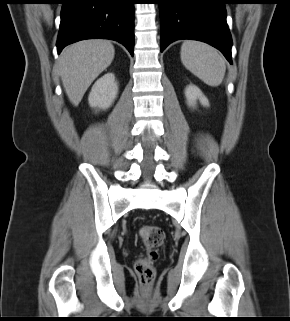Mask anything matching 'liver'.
Returning a JSON list of instances; mask_svg holds the SVG:
<instances>
[{
  "mask_svg": "<svg viewBox=\"0 0 290 321\" xmlns=\"http://www.w3.org/2000/svg\"><path fill=\"white\" fill-rule=\"evenodd\" d=\"M115 49L104 39H88L67 46L57 68L70 102L77 106L91 83L113 61Z\"/></svg>",
  "mask_w": 290,
  "mask_h": 321,
  "instance_id": "liver-1",
  "label": "liver"
}]
</instances>
